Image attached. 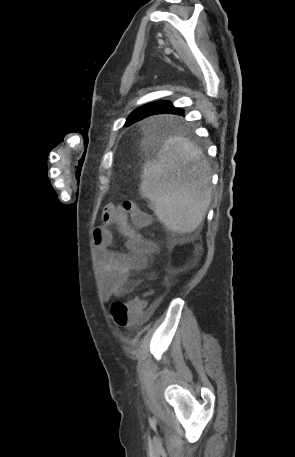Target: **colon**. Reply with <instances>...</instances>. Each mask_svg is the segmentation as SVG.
Listing matches in <instances>:
<instances>
[{
    "instance_id": "5ec220e1",
    "label": "colon",
    "mask_w": 295,
    "mask_h": 457,
    "mask_svg": "<svg viewBox=\"0 0 295 457\" xmlns=\"http://www.w3.org/2000/svg\"><path fill=\"white\" fill-rule=\"evenodd\" d=\"M123 210L127 211L132 223L137 227H146L150 222V216L142 211L131 200L123 202ZM144 300L140 297L129 301L114 302L111 306V314L114 322L120 327H133L137 325L143 316Z\"/></svg>"
}]
</instances>
